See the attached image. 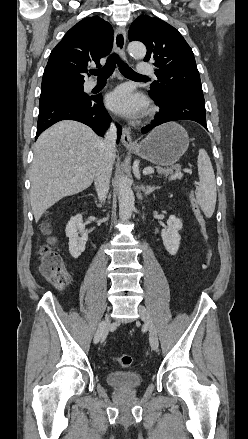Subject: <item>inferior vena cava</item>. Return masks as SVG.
<instances>
[{"mask_svg":"<svg viewBox=\"0 0 248 439\" xmlns=\"http://www.w3.org/2000/svg\"><path fill=\"white\" fill-rule=\"evenodd\" d=\"M116 139L117 129L116 126L112 123L105 133V139L102 143L103 157L102 161L99 163L96 169L94 177L95 188L97 191L98 199L101 203L106 200L109 191L113 156L114 152L116 151Z\"/></svg>","mask_w":248,"mask_h":439,"instance_id":"inferior-vena-cava-1","label":"inferior vena cava"}]
</instances>
